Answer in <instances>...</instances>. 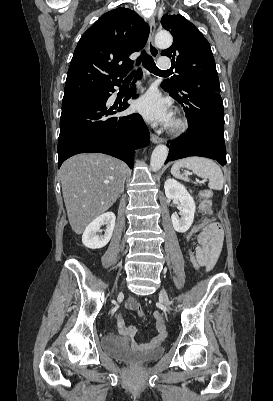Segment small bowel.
Instances as JSON below:
<instances>
[{"label": "small bowel", "mask_w": 273, "mask_h": 401, "mask_svg": "<svg viewBox=\"0 0 273 401\" xmlns=\"http://www.w3.org/2000/svg\"><path fill=\"white\" fill-rule=\"evenodd\" d=\"M206 228H210L209 225H207ZM191 237L192 234L189 235V239H191ZM198 242L199 248L196 250L195 256L200 260L201 265L204 266L207 271H211L221 251L222 241H201L200 236H198ZM135 301L134 298H129L125 307L130 310H135ZM153 315L157 318L156 323L158 325L164 324V319L160 318L162 315L160 311H155ZM118 327L123 333L120 343L131 351H138L141 349L154 350L159 346L160 341L166 338L168 333L166 327H158L156 325L158 335L150 342L144 343L135 341L134 338L137 334V328L134 325H127L121 316L118 318Z\"/></svg>", "instance_id": "1"}]
</instances>
